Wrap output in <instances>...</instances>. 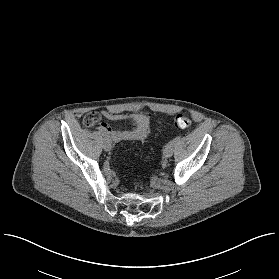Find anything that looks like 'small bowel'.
I'll return each instance as SVG.
<instances>
[{"instance_id":"c3829d8e","label":"small bowel","mask_w":279,"mask_h":279,"mask_svg":"<svg viewBox=\"0 0 279 279\" xmlns=\"http://www.w3.org/2000/svg\"><path fill=\"white\" fill-rule=\"evenodd\" d=\"M100 119L109 121H127L134 127L128 131L115 130L107 123L99 125L100 131L108 135L114 143L143 141L150 133V117L145 114H122L111 111L102 110L98 113L87 114L84 118V124L87 127L93 126Z\"/></svg>"}]
</instances>
